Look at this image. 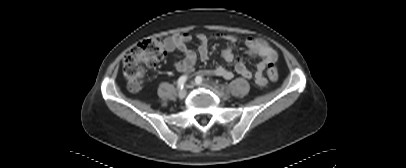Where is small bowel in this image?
<instances>
[{
	"instance_id": "c3829d8e",
	"label": "small bowel",
	"mask_w": 406,
	"mask_h": 168,
	"mask_svg": "<svg viewBox=\"0 0 406 168\" xmlns=\"http://www.w3.org/2000/svg\"><path fill=\"white\" fill-rule=\"evenodd\" d=\"M200 41L199 54L202 59H207L209 55L208 43L209 38L199 33L197 35ZM215 38L226 40L229 47L225 48L221 55L226 63L234 61V54L231 47L238 41L237 36L233 34L220 33L216 34ZM191 41V35L188 33L169 36L165 39L164 45L167 52L179 51L184 54V58L174 63L175 69L180 73H190L193 71L196 62V53L188 47ZM249 49V54L253 57H260L261 59L256 63L255 72H252L243 62L242 59H237L235 62V71L246 79H254V82L259 87H264L267 84L266 72L269 64H273L277 59L276 51L271 47L267 41L258 37H248L245 41ZM202 75H211L230 80L233 73L222 67L218 66L214 69L203 70L200 72Z\"/></svg>"
}]
</instances>
